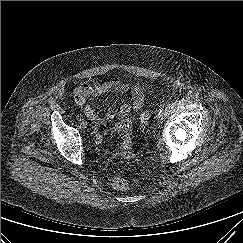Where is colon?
<instances>
[{
	"mask_svg": "<svg viewBox=\"0 0 243 243\" xmlns=\"http://www.w3.org/2000/svg\"><path fill=\"white\" fill-rule=\"evenodd\" d=\"M139 119H140L141 124H144L146 122V120H147V111L146 110H143L140 113ZM130 143H131L130 141H126L123 145V148L129 147ZM112 186L117 190H124L127 187V181L121 176H115L112 179Z\"/></svg>",
	"mask_w": 243,
	"mask_h": 243,
	"instance_id": "5ec220e1",
	"label": "colon"
}]
</instances>
